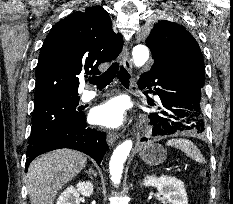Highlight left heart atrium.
<instances>
[{
  "instance_id": "obj_1",
  "label": "left heart atrium",
  "mask_w": 233,
  "mask_h": 204,
  "mask_svg": "<svg viewBox=\"0 0 233 204\" xmlns=\"http://www.w3.org/2000/svg\"><path fill=\"white\" fill-rule=\"evenodd\" d=\"M125 119V104L119 98H113L96 106L90 113L93 124L107 128H116L122 125Z\"/></svg>"
}]
</instances>
